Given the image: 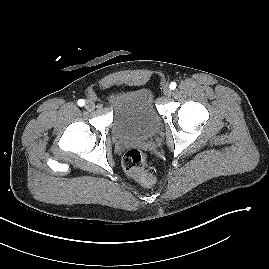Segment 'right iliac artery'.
Returning <instances> with one entry per match:
<instances>
[{
	"mask_svg": "<svg viewBox=\"0 0 269 269\" xmlns=\"http://www.w3.org/2000/svg\"><path fill=\"white\" fill-rule=\"evenodd\" d=\"M78 105L81 106V107L84 106L85 101L83 99L78 100Z\"/></svg>",
	"mask_w": 269,
	"mask_h": 269,
	"instance_id": "obj_1",
	"label": "right iliac artery"
}]
</instances>
